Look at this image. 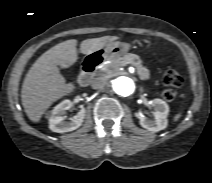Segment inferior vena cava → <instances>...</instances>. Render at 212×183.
I'll use <instances>...</instances> for the list:
<instances>
[{"label": "inferior vena cava", "mask_w": 212, "mask_h": 183, "mask_svg": "<svg viewBox=\"0 0 212 183\" xmlns=\"http://www.w3.org/2000/svg\"><path fill=\"white\" fill-rule=\"evenodd\" d=\"M105 82L102 78H95L92 81L91 87L95 90L100 89L104 86Z\"/></svg>", "instance_id": "1"}]
</instances>
